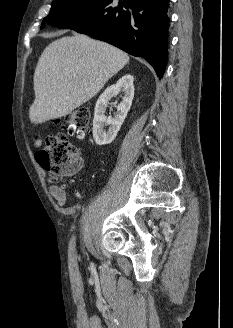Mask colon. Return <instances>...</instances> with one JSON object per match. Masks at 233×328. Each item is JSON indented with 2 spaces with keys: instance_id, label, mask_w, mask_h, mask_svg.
Wrapping results in <instances>:
<instances>
[{
  "instance_id": "5ec220e1",
  "label": "colon",
  "mask_w": 233,
  "mask_h": 328,
  "mask_svg": "<svg viewBox=\"0 0 233 328\" xmlns=\"http://www.w3.org/2000/svg\"><path fill=\"white\" fill-rule=\"evenodd\" d=\"M55 123H61L68 134L83 140L89 131L90 112L87 108H79ZM35 156L39 165L48 171L54 180L75 173L82 163L80 148L69 142L66 135L60 132L49 136L45 146L37 151Z\"/></svg>"
}]
</instances>
